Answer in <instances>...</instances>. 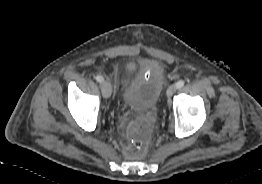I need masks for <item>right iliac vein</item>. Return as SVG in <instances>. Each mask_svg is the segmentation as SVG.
<instances>
[{"label":"right iliac vein","instance_id":"1","mask_svg":"<svg viewBox=\"0 0 262 184\" xmlns=\"http://www.w3.org/2000/svg\"><path fill=\"white\" fill-rule=\"evenodd\" d=\"M102 93L104 98H109L112 94V85L110 82H103Z\"/></svg>","mask_w":262,"mask_h":184}]
</instances>
